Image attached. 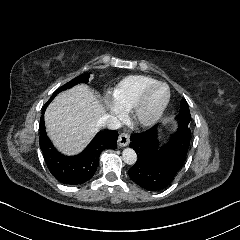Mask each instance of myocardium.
<instances>
[{
    "mask_svg": "<svg viewBox=\"0 0 240 240\" xmlns=\"http://www.w3.org/2000/svg\"><path fill=\"white\" fill-rule=\"evenodd\" d=\"M157 87H163V99L155 107L149 106V100ZM170 100V90L166 83L155 82L144 90L139 100L133 107L130 120L136 129H146L153 126L161 118Z\"/></svg>",
    "mask_w": 240,
    "mask_h": 240,
    "instance_id": "obj_1",
    "label": "myocardium"
}]
</instances>
